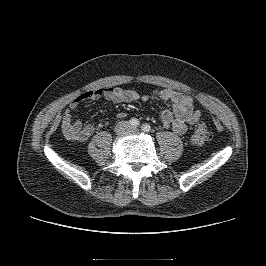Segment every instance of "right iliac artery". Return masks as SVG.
Masks as SVG:
<instances>
[{
  "label": "right iliac artery",
  "mask_w": 266,
  "mask_h": 266,
  "mask_svg": "<svg viewBox=\"0 0 266 266\" xmlns=\"http://www.w3.org/2000/svg\"><path fill=\"white\" fill-rule=\"evenodd\" d=\"M129 124L131 127L136 128L139 126L140 122L136 118H132L129 120Z\"/></svg>",
  "instance_id": "1"
}]
</instances>
